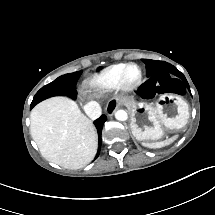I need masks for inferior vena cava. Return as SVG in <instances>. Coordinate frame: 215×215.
I'll use <instances>...</instances> for the list:
<instances>
[{
    "label": "inferior vena cava",
    "mask_w": 215,
    "mask_h": 215,
    "mask_svg": "<svg viewBox=\"0 0 215 215\" xmlns=\"http://www.w3.org/2000/svg\"><path fill=\"white\" fill-rule=\"evenodd\" d=\"M84 110L87 113L89 117L92 119H96L100 116L101 114V108L96 101H89L85 106Z\"/></svg>",
    "instance_id": "inferior-vena-cava-1"
}]
</instances>
